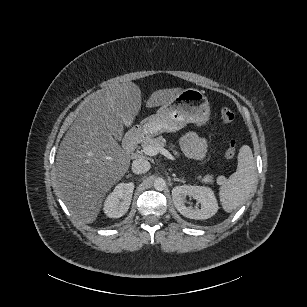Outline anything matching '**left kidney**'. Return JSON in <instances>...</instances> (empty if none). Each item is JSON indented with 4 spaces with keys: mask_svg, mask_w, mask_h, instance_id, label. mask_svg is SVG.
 <instances>
[{
    "mask_svg": "<svg viewBox=\"0 0 307 307\" xmlns=\"http://www.w3.org/2000/svg\"><path fill=\"white\" fill-rule=\"evenodd\" d=\"M195 198L201 203V209L187 207L184 202L186 196ZM172 198L175 207L184 216L192 219H207L219 210V202L214 190L209 186L179 185L172 189Z\"/></svg>",
    "mask_w": 307,
    "mask_h": 307,
    "instance_id": "5707ae66",
    "label": "left kidney"
}]
</instances>
